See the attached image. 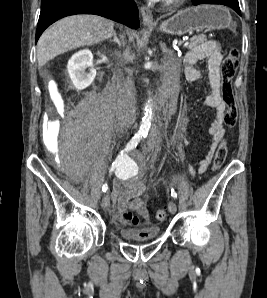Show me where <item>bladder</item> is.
Segmentation results:
<instances>
[{"mask_svg":"<svg viewBox=\"0 0 267 298\" xmlns=\"http://www.w3.org/2000/svg\"><path fill=\"white\" fill-rule=\"evenodd\" d=\"M160 229L158 227L152 228V232L149 235H140L137 231L129 228L118 229L119 236L130 242H147L158 237Z\"/></svg>","mask_w":267,"mask_h":298,"instance_id":"1","label":"bladder"}]
</instances>
